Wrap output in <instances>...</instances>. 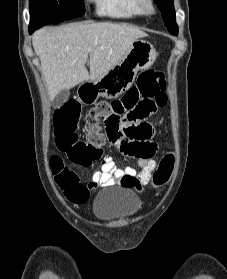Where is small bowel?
<instances>
[{"label":"small bowel","instance_id":"small-bowel-1","mask_svg":"<svg viewBox=\"0 0 227 279\" xmlns=\"http://www.w3.org/2000/svg\"><path fill=\"white\" fill-rule=\"evenodd\" d=\"M133 124L139 125L149 123L137 121L133 122ZM154 135L155 130L150 140L151 142ZM108 136L110 137L111 141H113L114 145H116L123 154L128 155V145L133 142L132 140L122 141L119 140L117 137H112L109 133ZM137 161L141 166V170L139 172H137L133 167L130 166L118 167L114 159L110 155H104L101 159V167L93 173L91 179L87 182L85 187L76 194L74 201L78 204L85 203L89 199L90 191L98 187H109L117 184H122L125 186L133 187L134 189H141L142 186L147 185L151 181L152 172L156 166V163L153 159H137ZM131 178L138 179L140 186L137 187L134 185H128L127 183Z\"/></svg>","mask_w":227,"mask_h":279}]
</instances>
